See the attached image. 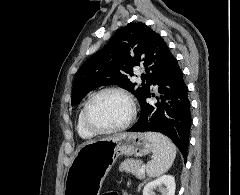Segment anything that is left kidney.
Listing matches in <instances>:
<instances>
[{
    "label": "left kidney",
    "mask_w": 240,
    "mask_h": 195,
    "mask_svg": "<svg viewBox=\"0 0 240 195\" xmlns=\"http://www.w3.org/2000/svg\"><path fill=\"white\" fill-rule=\"evenodd\" d=\"M154 189L161 191V195H175V177L173 175H161L154 181H148L144 185L143 195H156Z\"/></svg>",
    "instance_id": "1"
}]
</instances>
